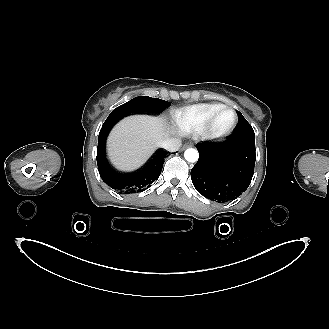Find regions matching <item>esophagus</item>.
Masks as SVG:
<instances>
[{"mask_svg": "<svg viewBox=\"0 0 329 329\" xmlns=\"http://www.w3.org/2000/svg\"><path fill=\"white\" fill-rule=\"evenodd\" d=\"M190 146H191L190 144H185V145L182 147V149L188 148V147H190Z\"/></svg>", "mask_w": 329, "mask_h": 329, "instance_id": "obj_1", "label": "esophagus"}]
</instances>
